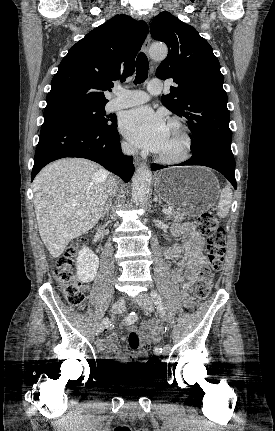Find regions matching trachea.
<instances>
[{"label": "trachea", "instance_id": "3493384b", "mask_svg": "<svg viewBox=\"0 0 275 431\" xmlns=\"http://www.w3.org/2000/svg\"><path fill=\"white\" fill-rule=\"evenodd\" d=\"M149 64L146 55L141 52L136 59V76L134 84L143 83L148 77Z\"/></svg>", "mask_w": 275, "mask_h": 431}]
</instances>
